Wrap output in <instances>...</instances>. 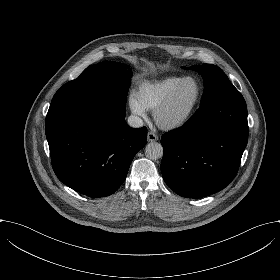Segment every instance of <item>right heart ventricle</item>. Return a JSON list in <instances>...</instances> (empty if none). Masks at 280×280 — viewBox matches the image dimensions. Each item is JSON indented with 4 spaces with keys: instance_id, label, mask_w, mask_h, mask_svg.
I'll return each instance as SVG.
<instances>
[{
    "instance_id": "right-heart-ventricle-1",
    "label": "right heart ventricle",
    "mask_w": 280,
    "mask_h": 280,
    "mask_svg": "<svg viewBox=\"0 0 280 280\" xmlns=\"http://www.w3.org/2000/svg\"><path fill=\"white\" fill-rule=\"evenodd\" d=\"M183 78L182 75H169L157 80H143L136 86L134 96L145 110L156 111Z\"/></svg>"
}]
</instances>
